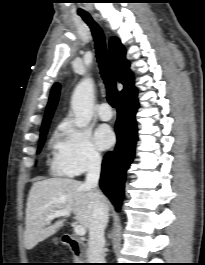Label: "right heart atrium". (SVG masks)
<instances>
[{
  "instance_id": "obj_1",
  "label": "right heart atrium",
  "mask_w": 205,
  "mask_h": 265,
  "mask_svg": "<svg viewBox=\"0 0 205 265\" xmlns=\"http://www.w3.org/2000/svg\"><path fill=\"white\" fill-rule=\"evenodd\" d=\"M54 146L52 169L58 175L77 176L101 163V155L89 130L78 128L70 122L60 126Z\"/></svg>"
}]
</instances>
